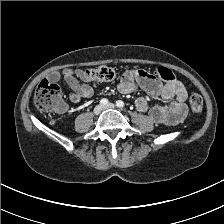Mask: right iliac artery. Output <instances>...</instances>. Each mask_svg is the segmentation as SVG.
Masks as SVG:
<instances>
[{
	"mask_svg": "<svg viewBox=\"0 0 224 224\" xmlns=\"http://www.w3.org/2000/svg\"><path fill=\"white\" fill-rule=\"evenodd\" d=\"M108 103H109V101L106 98H103V99L100 100V104L103 105V106L107 105Z\"/></svg>",
	"mask_w": 224,
	"mask_h": 224,
	"instance_id": "right-iliac-artery-1",
	"label": "right iliac artery"
}]
</instances>
